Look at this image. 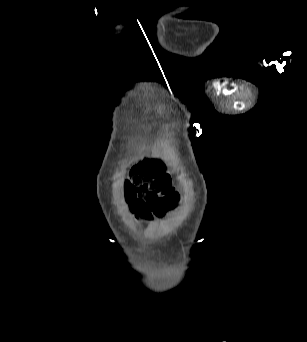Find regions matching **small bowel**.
<instances>
[{
    "label": "small bowel",
    "mask_w": 307,
    "mask_h": 342,
    "mask_svg": "<svg viewBox=\"0 0 307 342\" xmlns=\"http://www.w3.org/2000/svg\"><path fill=\"white\" fill-rule=\"evenodd\" d=\"M133 211L138 220H148L150 219V212L146 206H133Z\"/></svg>",
    "instance_id": "small-bowel-1"
}]
</instances>
